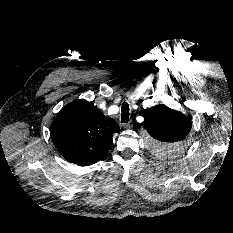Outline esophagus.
Wrapping results in <instances>:
<instances>
[{
	"label": "esophagus",
	"instance_id": "esophagus-1",
	"mask_svg": "<svg viewBox=\"0 0 233 233\" xmlns=\"http://www.w3.org/2000/svg\"><path fill=\"white\" fill-rule=\"evenodd\" d=\"M132 121H129L128 123L124 124V128L128 129L132 127Z\"/></svg>",
	"mask_w": 233,
	"mask_h": 233
}]
</instances>
